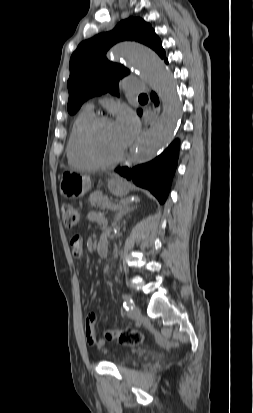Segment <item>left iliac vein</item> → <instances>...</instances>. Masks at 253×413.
<instances>
[{"label":"left iliac vein","mask_w":253,"mask_h":413,"mask_svg":"<svg viewBox=\"0 0 253 413\" xmlns=\"http://www.w3.org/2000/svg\"><path fill=\"white\" fill-rule=\"evenodd\" d=\"M140 315H141V311H140L139 307L136 306V305H133L132 308L129 311V316L131 318H138V317H140Z\"/></svg>","instance_id":"1"}]
</instances>
